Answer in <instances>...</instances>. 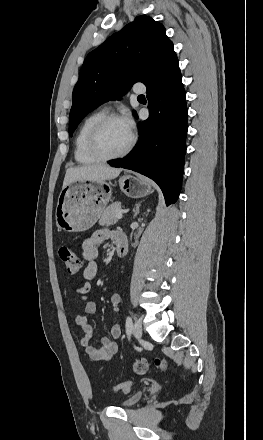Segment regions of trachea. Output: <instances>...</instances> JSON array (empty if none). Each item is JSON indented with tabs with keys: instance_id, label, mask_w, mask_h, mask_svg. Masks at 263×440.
<instances>
[{
	"instance_id": "1",
	"label": "trachea",
	"mask_w": 263,
	"mask_h": 440,
	"mask_svg": "<svg viewBox=\"0 0 263 440\" xmlns=\"http://www.w3.org/2000/svg\"><path fill=\"white\" fill-rule=\"evenodd\" d=\"M138 97H144V95H139Z\"/></svg>"
}]
</instances>
